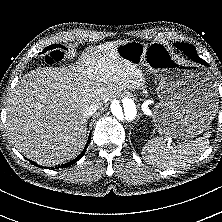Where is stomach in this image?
<instances>
[{"label": "stomach", "mask_w": 222, "mask_h": 222, "mask_svg": "<svg viewBox=\"0 0 222 222\" xmlns=\"http://www.w3.org/2000/svg\"><path fill=\"white\" fill-rule=\"evenodd\" d=\"M115 51L155 76L159 102L154 105L152 123L164 137L191 139L208 127L218 102L216 83L207 69L181 63L163 42L122 41Z\"/></svg>", "instance_id": "1"}]
</instances>
